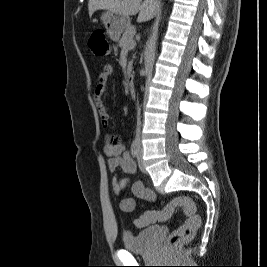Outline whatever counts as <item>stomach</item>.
Listing matches in <instances>:
<instances>
[{
  "label": "stomach",
  "mask_w": 267,
  "mask_h": 267,
  "mask_svg": "<svg viewBox=\"0 0 267 267\" xmlns=\"http://www.w3.org/2000/svg\"><path fill=\"white\" fill-rule=\"evenodd\" d=\"M101 20L113 41H118L123 31L130 25L129 17L111 11L102 13Z\"/></svg>",
  "instance_id": "1"
}]
</instances>
